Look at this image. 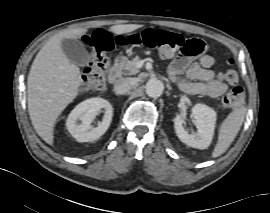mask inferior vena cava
<instances>
[{
    "label": "inferior vena cava",
    "mask_w": 270,
    "mask_h": 213,
    "mask_svg": "<svg viewBox=\"0 0 270 213\" xmlns=\"http://www.w3.org/2000/svg\"><path fill=\"white\" fill-rule=\"evenodd\" d=\"M133 86V82L129 78H123L118 80L114 85V92L116 94H125L127 93Z\"/></svg>",
    "instance_id": "inferior-vena-cava-1"
}]
</instances>
